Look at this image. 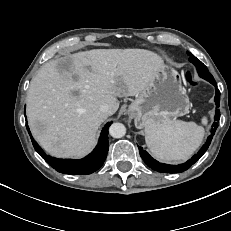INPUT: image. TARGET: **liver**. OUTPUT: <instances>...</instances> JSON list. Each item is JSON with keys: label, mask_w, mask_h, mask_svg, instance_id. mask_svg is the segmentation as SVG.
Segmentation results:
<instances>
[{"label": "liver", "mask_w": 231, "mask_h": 231, "mask_svg": "<svg viewBox=\"0 0 231 231\" xmlns=\"http://www.w3.org/2000/svg\"><path fill=\"white\" fill-rule=\"evenodd\" d=\"M163 67V59L145 49H94L47 62L27 92L33 136L52 156H85L108 117L99 107L108 104L114 114L117 97H138Z\"/></svg>", "instance_id": "6515ba94"}]
</instances>
